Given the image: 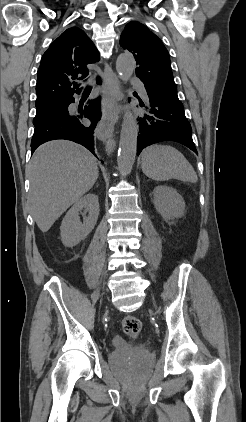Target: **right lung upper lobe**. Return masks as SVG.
Returning a JSON list of instances; mask_svg holds the SVG:
<instances>
[{"label":"right lung upper lobe","mask_w":246,"mask_h":422,"mask_svg":"<svg viewBox=\"0 0 246 422\" xmlns=\"http://www.w3.org/2000/svg\"><path fill=\"white\" fill-rule=\"evenodd\" d=\"M99 61V52L86 33L69 28L54 40L43 54L38 69L36 109L61 103L79 94L72 80L87 77V64ZM78 76H81L77 78Z\"/></svg>","instance_id":"1"}]
</instances>
